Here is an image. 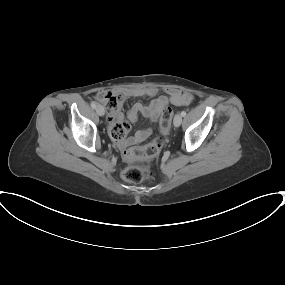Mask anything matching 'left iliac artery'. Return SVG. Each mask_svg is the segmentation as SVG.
<instances>
[{"label":"left iliac artery","mask_w":285,"mask_h":285,"mask_svg":"<svg viewBox=\"0 0 285 285\" xmlns=\"http://www.w3.org/2000/svg\"><path fill=\"white\" fill-rule=\"evenodd\" d=\"M181 115L184 117V116H186V112L185 111H182L181 112Z\"/></svg>","instance_id":"44dca946"}]
</instances>
